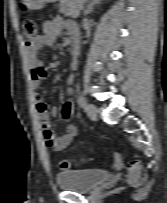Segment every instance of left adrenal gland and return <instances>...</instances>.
<instances>
[{
	"instance_id": "left-adrenal-gland-1",
	"label": "left adrenal gland",
	"mask_w": 167,
	"mask_h": 203,
	"mask_svg": "<svg viewBox=\"0 0 167 203\" xmlns=\"http://www.w3.org/2000/svg\"><path fill=\"white\" fill-rule=\"evenodd\" d=\"M101 0H90L88 2V4L86 5L85 9H84V16L88 15L89 13L92 12L93 10V7L96 5V4H100Z\"/></svg>"
}]
</instances>
